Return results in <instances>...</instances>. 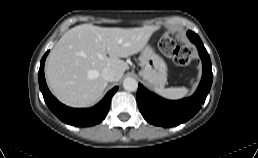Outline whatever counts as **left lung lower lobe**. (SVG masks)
I'll use <instances>...</instances> for the list:
<instances>
[{
  "instance_id": "0a47b994",
  "label": "left lung lower lobe",
  "mask_w": 258,
  "mask_h": 158,
  "mask_svg": "<svg viewBox=\"0 0 258 158\" xmlns=\"http://www.w3.org/2000/svg\"><path fill=\"white\" fill-rule=\"evenodd\" d=\"M188 38L197 46L203 64V75L198 89L193 96L178 101L165 100L139 84L137 103L144 119L156 126L173 127L193 117L205 102L210 91L213 74L211 60L199 36L187 32Z\"/></svg>"
}]
</instances>
